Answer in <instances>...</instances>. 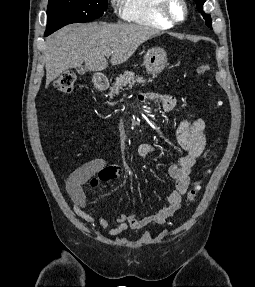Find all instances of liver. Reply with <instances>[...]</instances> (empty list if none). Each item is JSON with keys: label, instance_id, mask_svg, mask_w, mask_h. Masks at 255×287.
I'll return each instance as SVG.
<instances>
[{"label": "liver", "instance_id": "6515ba94", "mask_svg": "<svg viewBox=\"0 0 255 287\" xmlns=\"http://www.w3.org/2000/svg\"><path fill=\"white\" fill-rule=\"evenodd\" d=\"M159 32L139 24H70L58 30L46 40L44 60L46 86L70 68L85 64L90 72H102L108 68L106 54L113 52L112 66L123 64L135 50L158 36Z\"/></svg>", "mask_w": 255, "mask_h": 287}]
</instances>
